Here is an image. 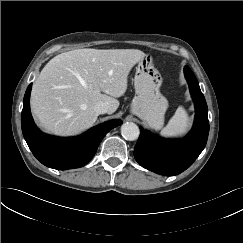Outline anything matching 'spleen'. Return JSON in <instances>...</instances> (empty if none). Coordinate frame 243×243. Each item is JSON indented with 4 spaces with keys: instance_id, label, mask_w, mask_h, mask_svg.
<instances>
[{
    "instance_id": "obj_1",
    "label": "spleen",
    "mask_w": 243,
    "mask_h": 243,
    "mask_svg": "<svg viewBox=\"0 0 243 243\" xmlns=\"http://www.w3.org/2000/svg\"><path fill=\"white\" fill-rule=\"evenodd\" d=\"M190 126V119L186 110L179 106L169 120L166 127H164L161 131V135L166 138H173L184 134Z\"/></svg>"
}]
</instances>
